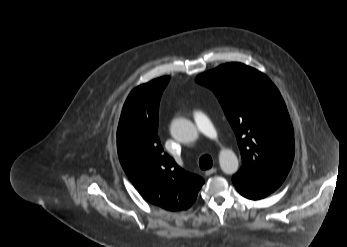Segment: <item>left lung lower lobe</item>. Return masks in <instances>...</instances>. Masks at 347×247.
I'll list each match as a JSON object with an SVG mask.
<instances>
[{
    "mask_svg": "<svg viewBox=\"0 0 347 247\" xmlns=\"http://www.w3.org/2000/svg\"><path fill=\"white\" fill-rule=\"evenodd\" d=\"M239 193L252 200H258L274 192L282 183L278 181H256L239 174L232 177Z\"/></svg>",
    "mask_w": 347,
    "mask_h": 247,
    "instance_id": "obj_1",
    "label": "left lung lower lobe"
}]
</instances>
